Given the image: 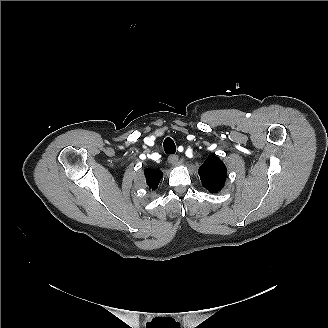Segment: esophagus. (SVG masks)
Masks as SVG:
<instances>
[{"mask_svg":"<svg viewBox=\"0 0 328 328\" xmlns=\"http://www.w3.org/2000/svg\"><path fill=\"white\" fill-rule=\"evenodd\" d=\"M178 160H179V158H178V156L177 155H170L169 157H168V163L170 164V165H176L177 163H178Z\"/></svg>","mask_w":328,"mask_h":328,"instance_id":"34e87169","label":"esophagus"}]
</instances>
